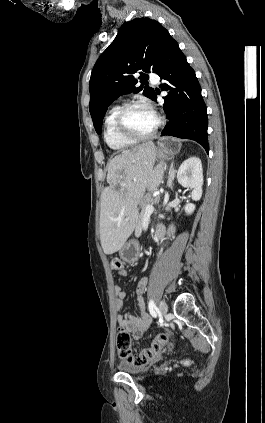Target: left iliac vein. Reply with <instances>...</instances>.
Here are the masks:
<instances>
[{
	"label": "left iliac vein",
	"instance_id": "left-iliac-vein-1",
	"mask_svg": "<svg viewBox=\"0 0 265 423\" xmlns=\"http://www.w3.org/2000/svg\"><path fill=\"white\" fill-rule=\"evenodd\" d=\"M167 311H168V307H167L166 302L161 300L159 302V312L162 315V317H164L166 315Z\"/></svg>",
	"mask_w": 265,
	"mask_h": 423
}]
</instances>
